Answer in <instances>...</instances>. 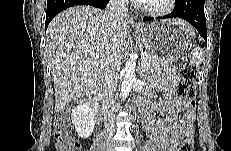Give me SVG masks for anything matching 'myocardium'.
<instances>
[{
    "instance_id": "f54148a6",
    "label": "myocardium",
    "mask_w": 231,
    "mask_h": 151,
    "mask_svg": "<svg viewBox=\"0 0 231 151\" xmlns=\"http://www.w3.org/2000/svg\"><path fill=\"white\" fill-rule=\"evenodd\" d=\"M175 0H166L162 7L154 8L147 4L137 5L138 10L149 17H161L167 15L173 8Z\"/></svg>"
}]
</instances>
